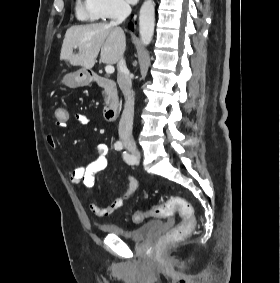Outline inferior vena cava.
Segmentation results:
<instances>
[{"label": "inferior vena cava", "mask_w": 280, "mask_h": 283, "mask_svg": "<svg viewBox=\"0 0 280 283\" xmlns=\"http://www.w3.org/2000/svg\"><path fill=\"white\" fill-rule=\"evenodd\" d=\"M131 11L128 3H121L118 7L117 19L112 21L111 25L118 26L121 24L131 14ZM117 72V82L125 98L124 110L119 122V137L125 146L130 147L135 145L132 136L135 93L132 90L130 73L123 55L117 63Z\"/></svg>", "instance_id": "inferior-vena-cava-1"}]
</instances>
